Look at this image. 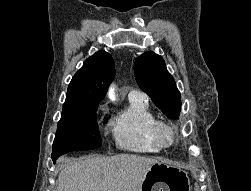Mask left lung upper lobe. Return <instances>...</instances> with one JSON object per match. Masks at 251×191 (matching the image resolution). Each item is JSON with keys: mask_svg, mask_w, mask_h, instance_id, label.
<instances>
[{"mask_svg": "<svg viewBox=\"0 0 251 191\" xmlns=\"http://www.w3.org/2000/svg\"><path fill=\"white\" fill-rule=\"evenodd\" d=\"M134 75L139 87L163 113L179 118L180 92L160 55L149 51L139 56L134 63Z\"/></svg>", "mask_w": 251, "mask_h": 191, "instance_id": "left-lung-upper-lobe-1", "label": "left lung upper lobe"}]
</instances>
